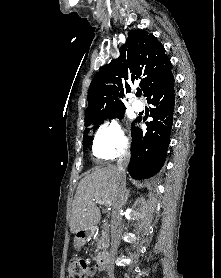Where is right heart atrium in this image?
Returning <instances> with one entry per match:
<instances>
[{
	"instance_id": "right-heart-atrium-1",
	"label": "right heart atrium",
	"mask_w": 221,
	"mask_h": 278,
	"mask_svg": "<svg viewBox=\"0 0 221 278\" xmlns=\"http://www.w3.org/2000/svg\"><path fill=\"white\" fill-rule=\"evenodd\" d=\"M129 140L116 119L103 122L93 138V154L102 160H111L127 152Z\"/></svg>"
}]
</instances>
